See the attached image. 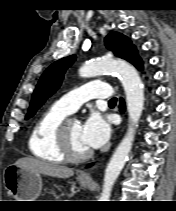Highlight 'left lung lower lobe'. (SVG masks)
<instances>
[{
  "mask_svg": "<svg viewBox=\"0 0 176 211\" xmlns=\"http://www.w3.org/2000/svg\"><path fill=\"white\" fill-rule=\"evenodd\" d=\"M120 101H121V103H120V111L123 112L124 111V102H123L122 99Z\"/></svg>",
  "mask_w": 176,
  "mask_h": 211,
  "instance_id": "0a47b994",
  "label": "left lung lower lobe"
}]
</instances>
